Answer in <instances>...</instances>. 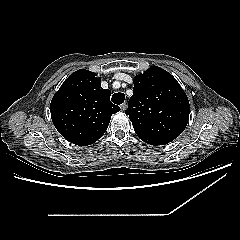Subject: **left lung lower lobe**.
<instances>
[{
    "label": "left lung lower lobe",
    "instance_id": "1",
    "mask_svg": "<svg viewBox=\"0 0 240 240\" xmlns=\"http://www.w3.org/2000/svg\"><path fill=\"white\" fill-rule=\"evenodd\" d=\"M171 142L170 140H166V139H152L149 141L148 144H151V145H164V144H167Z\"/></svg>",
    "mask_w": 240,
    "mask_h": 240
}]
</instances>
